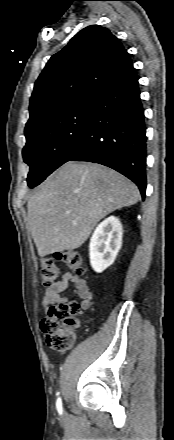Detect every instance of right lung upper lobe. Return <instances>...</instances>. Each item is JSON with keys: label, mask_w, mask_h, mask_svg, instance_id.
<instances>
[{"label": "right lung upper lobe", "mask_w": 174, "mask_h": 440, "mask_svg": "<svg viewBox=\"0 0 174 440\" xmlns=\"http://www.w3.org/2000/svg\"><path fill=\"white\" fill-rule=\"evenodd\" d=\"M130 55L107 28L91 25L53 55L35 82L26 127L122 75Z\"/></svg>", "instance_id": "obj_1"}]
</instances>
